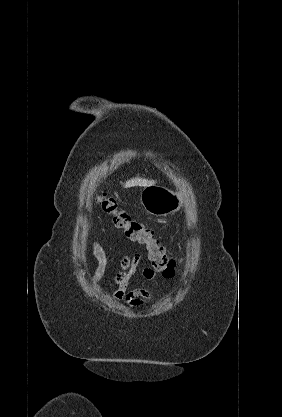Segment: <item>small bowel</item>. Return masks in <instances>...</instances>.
<instances>
[{"instance_id": "1", "label": "small bowel", "mask_w": 282, "mask_h": 417, "mask_svg": "<svg viewBox=\"0 0 282 417\" xmlns=\"http://www.w3.org/2000/svg\"><path fill=\"white\" fill-rule=\"evenodd\" d=\"M92 253L97 261V267L93 274V283H98L104 276L108 259L104 248L98 242H93ZM83 267H87V260L82 258ZM121 270L115 277V290L113 292L114 299L126 303L133 308L141 307L145 302L152 298L153 292L147 288H133L129 289V282L131 277L137 272L139 268L138 255H126L122 258ZM141 273L147 280L157 282L155 272L150 267H142Z\"/></svg>"}]
</instances>
